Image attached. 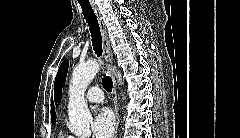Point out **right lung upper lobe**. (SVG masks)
Segmentation results:
<instances>
[{"label": "right lung upper lobe", "mask_w": 240, "mask_h": 138, "mask_svg": "<svg viewBox=\"0 0 240 138\" xmlns=\"http://www.w3.org/2000/svg\"><path fill=\"white\" fill-rule=\"evenodd\" d=\"M53 104V102H51ZM51 122L52 124H55L56 122V113H55V107H51Z\"/></svg>", "instance_id": "obj_1"}]
</instances>
